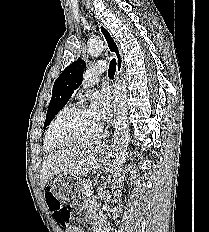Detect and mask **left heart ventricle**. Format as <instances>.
<instances>
[{
	"mask_svg": "<svg viewBox=\"0 0 209 232\" xmlns=\"http://www.w3.org/2000/svg\"><path fill=\"white\" fill-rule=\"evenodd\" d=\"M99 125L91 110H83L61 120L55 126L53 136L59 141H66L91 134Z\"/></svg>",
	"mask_w": 209,
	"mask_h": 232,
	"instance_id": "obj_1",
	"label": "left heart ventricle"
}]
</instances>
